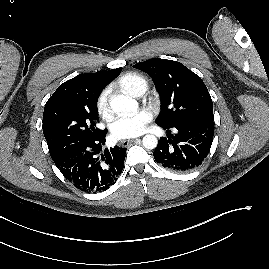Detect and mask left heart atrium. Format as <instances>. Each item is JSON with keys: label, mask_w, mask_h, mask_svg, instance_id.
I'll return each instance as SVG.
<instances>
[{"label": "left heart atrium", "mask_w": 269, "mask_h": 269, "mask_svg": "<svg viewBox=\"0 0 269 269\" xmlns=\"http://www.w3.org/2000/svg\"><path fill=\"white\" fill-rule=\"evenodd\" d=\"M152 115L147 110H140L132 116L119 118L112 125V134L116 139L132 138L140 135Z\"/></svg>", "instance_id": "1"}]
</instances>
